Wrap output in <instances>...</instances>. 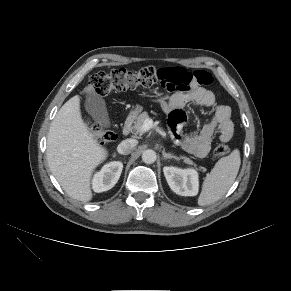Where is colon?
Returning a JSON list of instances; mask_svg holds the SVG:
<instances>
[{
    "label": "colon",
    "instance_id": "5ec220e1",
    "mask_svg": "<svg viewBox=\"0 0 291 291\" xmlns=\"http://www.w3.org/2000/svg\"><path fill=\"white\" fill-rule=\"evenodd\" d=\"M195 76L200 82L206 83L209 74L198 71L195 73ZM157 83H160L168 90H177L185 88L188 84V80L178 77L167 78L163 73V69H156L151 66L144 67L136 72L116 69L108 73L97 72L93 74L89 79L88 85L84 89V94L105 96L112 91H126L137 87H149ZM88 126L91 133L102 144L111 142L115 139L113 132L102 128L97 123L88 122ZM229 151L228 145L219 143L215 146L213 153L217 157H223L227 155Z\"/></svg>",
    "mask_w": 291,
    "mask_h": 291
}]
</instances>
